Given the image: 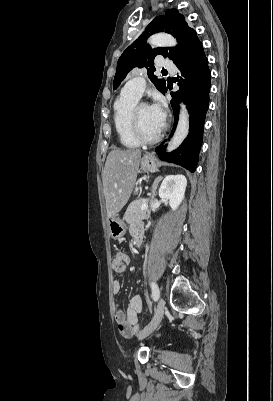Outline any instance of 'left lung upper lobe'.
<instances>
[{
  "label": "left lung upper lobe",
  "mask_w": 273,
  "mask_h": 401,
  "mask_svg": "<svg viewBox=\"0 0 273 401\" xmlns=\"http://www.w3.org/2000/svg\"><path fill=\"white\" fill-rule=\"evenodd\" d=\"M166 32L176 37L178 45L176 47H158L152 49L146 44V39L157 32ZM199 41L196 31L188 27L184 15L176 9H169L165 15L157 16L146 27L142 35L129 46L120 56L117 62V69L113 83V89H116L125 76L134 67H149L148 76L156 88L164 93L167 87L164 79H157L154 75L155 67L153 61L156 55H162L169 59L176 58L185 52L194 43ZM134 48H137L134 50Z\"/></svg>",
  "instance_id": "1"
}]
</instances>
